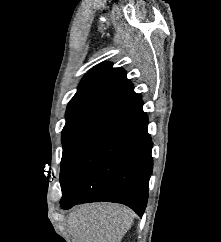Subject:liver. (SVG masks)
<instances>
[{"mask_svg":"<svg viewBox=\"0 0 221 242\" xmlns=\"http://www.w3.org/2000/svg\"><path fill=\"white\" fill-rule=\"evenodd\" d=\"M132 222L129 208L111 203L82 205L67 219L74 242H121Z\"/></svg>","mask_w":221,"mask_h":242,"instance_id":"1","label":"liver"}]
</instances>
